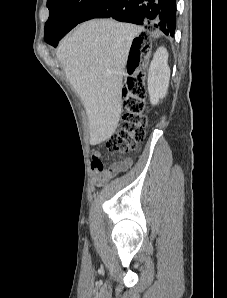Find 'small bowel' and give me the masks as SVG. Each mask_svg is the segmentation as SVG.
I'll list each match as a JSON object with an SVG mask.
<instances>
[{
	"instance_id": "small-bowel-1",
	"label": "small bowel",
	"mask_w": 227,
	"mask_h": 298,
	"mask_svg": "<svg viewBox=\"0 0 227 298\" xmlns=\"http://www.w3.org/2000/svg\"><path fill=\"white\" fill-rule=\"evenodd\" d=\"M92 157V169L94 179L97 183L102 184L108 179L117 175L118 173L125 171L131 165V159L127 158L111 164L109 167H105L103 164V156L99 152L91 154Z\"/></svg>"
}]
</instances>
